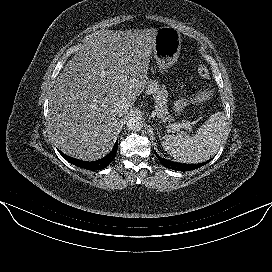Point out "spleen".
<instances>
[{"label": "spleen", "instance_id": "spleen-1", "mask_svg": "<svg viewBox=\"0 0 272 272\" xmlns=\"http://www.w3.org/2000/svg\"><path fill=\"white\" fill-rule=\"evenodd\" d=\"M226 130L225 117L217 112L191 137L165 135L161 144L173 158L184 163H200L208 160L219 149Z\"/></svg>", "mask_w": 272, "mask_h": 272}]
</instances>
